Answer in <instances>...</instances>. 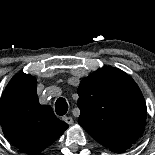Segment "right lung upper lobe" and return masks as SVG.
I'll return each instance as SVG.
<instances>
[{
    "mask_svg": "<svg viewBox=\"0 0 155 155\" xmlns=\"http://www.w3.org/2000/svg\"><path fill=\"white\" fill-rule=\"evenodd\" d=\"M0 124L9 142L27 153L41 152L68 128L50 106L39 103L36 78L23 72L13 77L3 92Z\"/></svg>",
    "mask_w": 155,
    "mask_h": 155,
    "instance_id": "obj_1",
    "label": "right lung upper lobe"
}]
</instances>
